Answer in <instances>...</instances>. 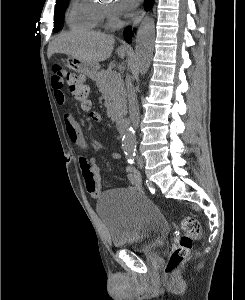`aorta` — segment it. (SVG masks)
I'll list each match as a JSON object with an SVG mask.
<instances>
[{
	"instance_id": "1",
	"label": "aorta",
	"mask_w": 245,
	"mask_h": 300,
	"mask_svg": "<svg viewBox=\"0 0 245 300\" xmlns=\"http://www.w3.org/2000/svg\"><path fill=\"white\" fill-rule=\"evenodd\" d=\"M155 38L154 20L146 17L141 21L136 36V61L139 73L144 75L150 66L153 56ZM122 145L125 150H132L136 145L135 131L130 128L123 136Z\"/></svg>"
}]
</instances>
